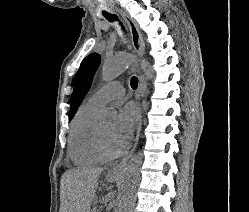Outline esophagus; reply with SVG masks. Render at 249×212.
Wrapping results in <instances>:
<instances>
[{
    "label": "esophagus",
    "instance_id": "esophagus-1",
    "mask_svg": "<svg viewBox=\"0 0 249 212\" xmlns=\"http://www.w3.org/2000/svg\"><path fill=\"white\" fill-rule=\"evenodd\" d=\"M116 11L118 13H120V15L122 16V18L124 19L125 23L127 24L129 31H130V35H131V40H132V45L134 47L135 52L139 55V56H143L145 53V44L143 41V37L142 34L138 28V25L136 23V21L134 19H132L126 12H124L122 9H116ZM140 83L138 86V92H137V98L138 101L140 102V91H141V86H142V82L143 79L142 77H140ZM141 126H142V117L140 118L138 125H137V132H136V138L134 140V145L131 149V151L129 152L128 155H126V157H124L121 162H119V164L115 165L114 167H111L108 172L111 175H120L123 172V169L126 167L130 157L132 156L133 152L135 151L136 147H137V143L139 140V136H140V132H141Z\"/></svg>",
    "mask_w": 249,
    "mask_h": 212
}]
</instances>
